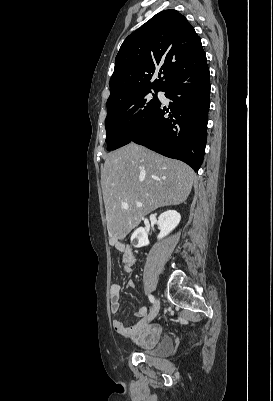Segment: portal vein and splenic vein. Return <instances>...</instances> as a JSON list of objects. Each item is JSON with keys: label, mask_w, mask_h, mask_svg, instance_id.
<instances>
[{"label": "portal vein and splenic vein", "mask_w": 273, "mask_h": 401, "mask_svg": "<svg viewBox=\"0 0 273 401\" xmlns=\"http://www.w3.org/2000/svg\"><path fill=\"white\" fill-rule=\"evenodd\" d=\"M136 207H143L142 203H136ZM124 209H129L128 205H125Z\"/></svg>", "instance_id": "obj_1"}]
</instances>
